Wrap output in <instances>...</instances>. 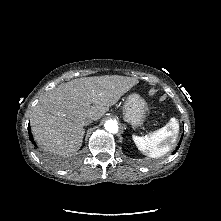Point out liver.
Here are the masks:
<instances>
[{
    "mask_svg": "<svg viewBox=\"0 0 221 221\" xmlns=\"http://www.w3.org/2000/svg\"><path fill=\"white\" fill-rule=\"evenodd\" d=\"M138 79L119 75L84 77L62 83L46 92L30 116L38 145L57 155L76 152L82 145V120H99Z\"/></svg>",
    "mask_w": 221,
    "mask_h": 221,
    "instance_id": "liver-1",
    "label": "liver"
}]
</instances>
